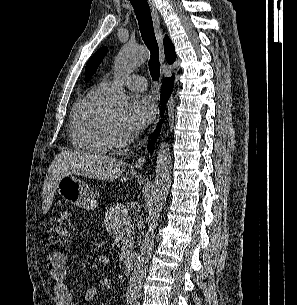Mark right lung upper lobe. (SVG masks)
Instances as JSON below:
<instances>
[{"label": "right lung upper lobe", "instance_id": "obj_1", "mask_svg": "<svg viewBox=\"0 0 297 305\" xmlns=\"http://www.w3.org/2000/svg\"><path fill=\"white\" fill-rule=\"evenodd\" d=\"M164 51H165V58L169 64H172L176 59V53L174 45L172 44L171 40L165 35L164 38Z\"/></svg>", "mask_w": 297, "mask_h": 305}]
</instances>
